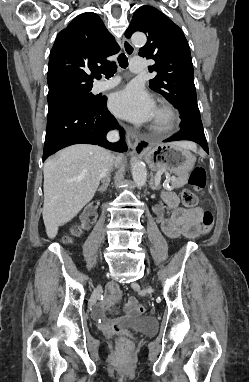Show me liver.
Wrapping results in <instances>:
<instances>
[{"label": "liver", "mask_w": 249, "mask_h": 382, "mask_svg": "<svg viewBox=\"0 0 249 382\" xmlns=\"http://www.w3.org/2000/svg\"><path fill=\"white\" fill-rule=\"evenodd\" d=\"M196 150L191 142H178ZM108 152L95 145L76 144L62 149L44 164L43 221L47 236L55 238L59 226L71 221L94 197ZM116 163L122 156L115 158Z\"/></svg>", "instance_id": "liver-1"}]
</instances>
